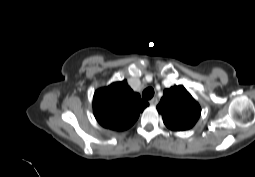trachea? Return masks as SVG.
<instances>
[{
    "mask_svg": "<svg viewBox=\"0 0 255 177\" xmlns=\"http://www.w3.org/2000/svg\"><path fill=\"white\" fill-rule=\"evenodd\" d=\"M154 96V89L152 87H148L146 88L143 93H142V97L145 100H149Z\"/></svg>",
    "mask_w": 255,
    "mask_h": 177,
    "instance_id": "1",
    "label": "trachea"
}]
</instances>
